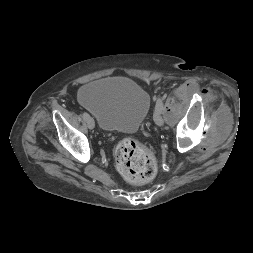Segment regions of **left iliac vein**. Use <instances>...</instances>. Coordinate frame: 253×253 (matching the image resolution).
<instances>
[{
    "instance_id": "4c4485c4",
    "label": "left iliac vein",
    "mask_w": 253,
    "mask_h": 253,
    "mask_svg": "<svg viewBox=\"0 0 253 253\" xmlns=\"http://www.w3.org/2000/svg\"><path fill=\"white\" fill-rule=\"evenodd\" d=\"M164 108H165L164 106H163V109L161 107H159L154 112V121H155L156 125H158V126H162L164 124V119L162 117V113L164 111Z\"/></svg>"
}]
</instances>
